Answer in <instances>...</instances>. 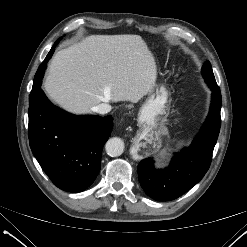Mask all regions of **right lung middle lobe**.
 I'll return each instance as SVG.
<instances>
[{
    "label": "right lung middle lobe",
    "mask_w": 247,
    "mask_h": 247,
    "mask_svg": "<svg viewBox=\"0 0 247 247\" xmlns=\"http://www.w3.org/2000/svg\"><path fill=\"white\" fill-rule=\"evenodd\" d=\"M60 40H61V38H59L55 42V44L53 45V47L49 51L48 55L46 56L45 60L39 66V68H38V70H37V72L35 74V78H34V81H33V87H32V91L30 93V98L29 99L33 98L38 93V90L40 89V86H41V83H42V78H43L44 70L46 68V64H47L48 60L51 58V56L53 55L54 48L59 43Z\"/></svg>",
    "instance_id": "obj_1"
}]
</instances>
